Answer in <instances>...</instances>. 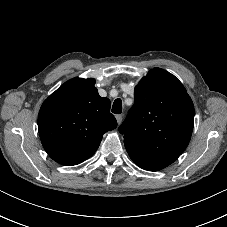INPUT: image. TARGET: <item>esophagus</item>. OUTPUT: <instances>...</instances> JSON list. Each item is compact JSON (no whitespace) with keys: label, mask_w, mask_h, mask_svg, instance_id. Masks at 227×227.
Segmentation results:
<instances>
[{"label":"esophagus","mask_w":227,"mask_h":227,"mask_svg":"<svg viewBox=\"0 0 227 227\" xmlns=\"http://www.w3.org/2000/svg\"><path fill=\"white\" fill-rule=\"evenodd\" d=\"M122 119H123V116L122 115H116V120H117V123L118 124H121Z\"/></svg>","instance_id":"1"}]
</instances>
